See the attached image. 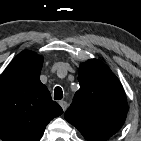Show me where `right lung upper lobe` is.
<instances>
[{
  "label": "right lung upper lobe",
  "mask_w": 141,
  "mask_h": 141,
  "mask_svg": "<svg viewBox=\"0 0 141 141\" xmlns=\"http://www.w3.org/2000/svg\"><path fill=\"white\" fill-rule=\"evenodd\" d=\"M43 57L19 53L0 76V139L39 141L47 124L63 113L41 83Z\"/></svg>",
  "instance_id": "right-lung-upper-lobe-1"
}]
</instances>
